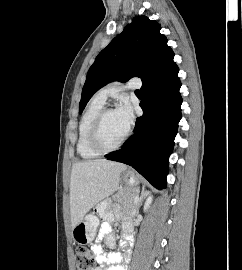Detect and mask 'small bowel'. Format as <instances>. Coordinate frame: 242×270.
<instances>
[{"instance_id": "obj_1", "label": "small bowel", "mask_w": 242, "mask_h": 270, "mask_svg": "<svg viewBox=\"0 0 242 270\" xmlns=\"http://www.w3.org/2000/svg\"><path fill=\"white\" fill-rule=\"evenodd\" d=\"M101 215L104 220L99 228L97 240L104 239L106 246L113 249L116 246V239L112 233L111 224L116 220H120L123 227L121 246L129 247L132 244L131 221L127 218L122 219L119 215H116L111 211H104ZM92 252L101 267L113 264L108 270H126V259L123 254L119 252L106 253L100 244H93ZM101 267H98L96 270H102Z\"/></svg>"}]
</instances>
